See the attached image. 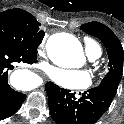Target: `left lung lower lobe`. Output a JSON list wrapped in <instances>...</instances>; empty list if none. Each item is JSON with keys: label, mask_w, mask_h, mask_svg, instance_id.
I'll return each mask as SVG.
<instances>
[{"label": "left lung lower lobe", "mask_w": 124, "mask_h": 124, "mask_svg": "<svg viewBox=\"0 0 124 124\" xmlns=\"http://www.w3.org/2000/svg\"><path fill=\"white\" fill-rule=\"evenodd\" d=\"M50 114L56 124H94L108 110L115 94L107 87L97 86L80 98L75 93L46 84Z\"/></svg>", "instance_id": "left-lung-lower-lobe-1"}]
</instances>
